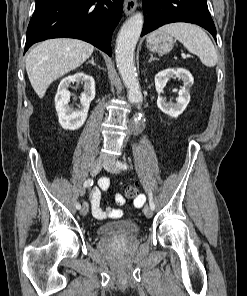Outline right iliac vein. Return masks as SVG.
Here are the masks:
<instances>
[{"mask_svg": "<svg viewBox=\"0 0 247 296\" xmlns=\"http://www.w3.org/2000/svg\"><path fill=\"white\" fill-rule=\"evenodd\" d=\"M102 164H103L102 158H99L94 161V163L92 164V167H91V175L92 176H95L99 173V171L101 170ZM80 213L83 216H85L88 213V204L86 202L83 203V205L80 209Z\"/></svg>", "mask_w": 247, "mask_h": 296, "instance_id": "63e3f726", "label": "right iliac vein"}]
</instances>
